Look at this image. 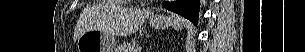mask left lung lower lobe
<instances>
[{
	"instance_id": "1",
	"label": "left lung lower lobe",
	"mask_w": 305,
	"mask_h": 52,
	"mask_svg": "<svg viewBox=\"0 0 305 52\" xmlns=\"http://www.w3.org/2000/svg\"><path fill=\"white\" fill-rule=\"evenodd\" d=\"M166 9L173 11L190 20L194 25L198 23L199 0H179L176 2H165Z\"/></svg>"
}]
</instances>
